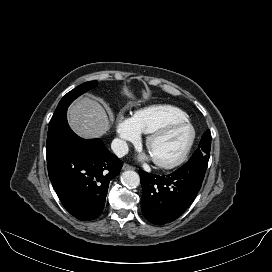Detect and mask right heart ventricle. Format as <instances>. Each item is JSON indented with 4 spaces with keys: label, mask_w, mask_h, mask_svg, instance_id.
Instances as JSON below:
<instances>
[{
    "label": "right heart ventricle",
    "mask_w": 272,
    "mask_h": 272,
    "mask_svg": "<svg viewBox=\"0 0 272 272\" xmlns=\"http://www.w3.org/2000/svg\"><path fill=\"white\" fill-rule=\"evenodd\" d=\"M187 118V114L176 106L155 105L137 111L132 120L139 133L149 134L169 122Z\"/></svg>",
    "instance_id": "e07e8e85"
}]
</instances>
